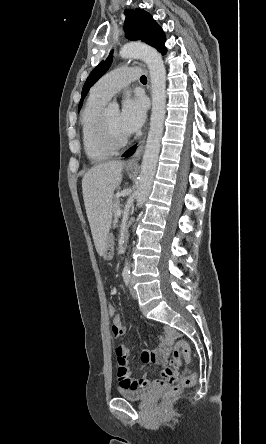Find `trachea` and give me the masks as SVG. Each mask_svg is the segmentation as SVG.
Wrapping results in <instances>:
<instances>
[{"label":"trachea","mask_w":266,"mask_h":444,"mask_svg":"<svg viewBox=\"0 0 266 444\" xmlns=\"http://www.w3.org/2000/svg\"><path fill=\"white\" fill-rule=\"evenodd\" d=\"M140 81H141V82H146V81H147L146 76H145V75H142V76L140 77Z\"/></svg>","instance_id":"trachea-1"}]
</instances>
